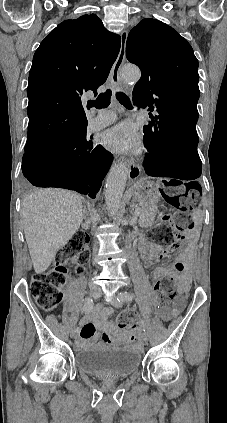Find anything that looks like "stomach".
Listing matches in <instances>:
<instances>
[{
  "label": "stomach",
  "mask_w": 227,
  "mask_h": 423,
  "mask_svg": "<svg viewBox=\"0 0 227 423\" xmlns=\"http://www.w3.org/2000/svg\"><path fill=\"white\" fill-rule=\"evenodd\" d=\"M132 196L143 206H155L160 200L159 188L155 182H150L148 178H142L131 188Z\"/></svg>",
  "instance_id": "1"
}]
</instances>
